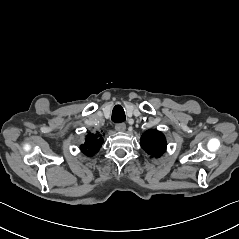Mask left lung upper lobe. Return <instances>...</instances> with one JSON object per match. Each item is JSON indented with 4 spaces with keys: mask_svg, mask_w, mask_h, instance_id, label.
Listing matches in <instances>:
<instances>
[{
    "mask_svg": "<svg viewBox=\"0 0 239 239\" xmlns=\"http://www.w3.org/2000/svg\"><path fill=\"white\" fill-rule=\"evenodd\" d=\"M140 145L149 155L158 158L166 151L167 143L161 132L148 130L141 136Z\"/></svg>",
    "mask_w": 239,
    "mask_h": 239,
    "instance_id": "5c2ea615",
    "label": "left lung upper lobe"
}]
</instances>
